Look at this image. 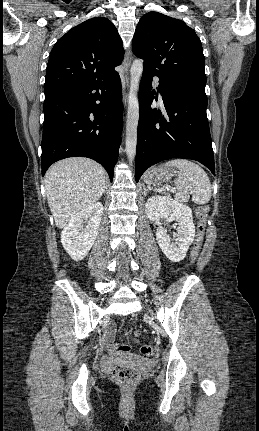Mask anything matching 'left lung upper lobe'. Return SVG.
Segmentation results:
<instances>
[{
    "instance_id": "1",
    "label": "left lung upper lobe",
    "mask_w": 259,
    "mask_h": 431,
    "mask_svg": "<svg viewBox=\"0 0 259 431\" xmlns=\"http://www.w3.org/2000/svg\"><path fill=\"white\" fill-rule=\"evenodd\" d=\"M133 53L144 60V69L166 82L205 91L202 44L182 20L158 12L145 14L135 30Z\"/></svg>"
}]
</instances>
